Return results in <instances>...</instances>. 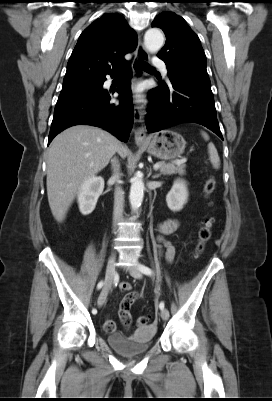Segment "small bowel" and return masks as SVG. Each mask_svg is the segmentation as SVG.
<instances>
[{"mask_svg":"<svg viewBox=\"0 0 272 401\" xmlns=\"http://www.w3.org/2000/svg\"><path fill=\"white\" fill-rule=\"evenodd\" d=\"M179 223L175 219H166L160 223V235L158 236V252L164 255L167 261L171 262L175 256V247L173 244L166 240L164 236L172 234L178 229ZM131 285L129 282H122L119 286V290L122 292H127L122 298L119 305V317L121 322L125 326H129L131 323V313L130 309L133 303L139 298L137 292H131ZM105 330L107 332H113L115 330V322L107 318L104 323Z\"/></svg>","mask_w":272,"mask_h":401,"instance_id":"1","label":"small bowel"}]
</instances>
